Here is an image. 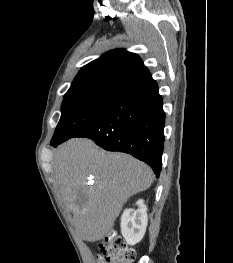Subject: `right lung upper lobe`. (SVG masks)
Here are the masks:
<instances>
[{
	"instance_id": "1",
	"label": "right lung upper lobe",
	"mask_w": 233,
	"mask_h": 263,
	"mask_svg": "<svg viewBox=\"0 0 233 263\" xmlns=\"http://www.w3.org/2000/svg\"><path fill=\"white\" fill-rule=\"evenodd\" d=\"M150 79L151 74L138 55L117 49L85 65L65 95L80 93L119 95Z\"/></svg>"
}]
</instances>
